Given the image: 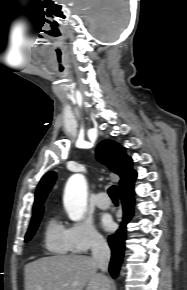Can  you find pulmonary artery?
<instances>
[{"label": "pulmonary artery", "instance_id": "1", "mask_svg": "<svg viewBox=\"0 0 187 290\" xmlns=\"http://www.w3.org/2000/svg\"><path fill=\"white\" fill-rule=\"evenodd\" d=\"M94 203L97 207L101 209H107L110 207V200L107 193L100 192L95 196Z\"/></svg>", "mask_w": 187, "mask_h": 290}]
</instances>
